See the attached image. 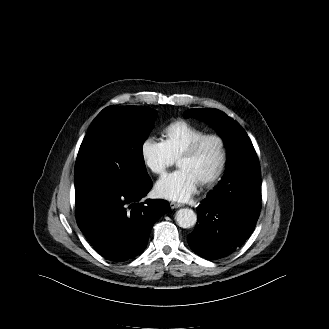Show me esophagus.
I'll use <instances>...</instances> for the list:
<instances>
[{"instance_id":"obj_1","label":"esophagus","mask_w":329,"mask_h":329,"mask_svg":"<svg viewBox=\"0 0 329 329\" xmlns=\"http://www.w3.org/2000/svg\"><path fill=\"white\" fill-rule=\"evenodd\" d=\"M181 206H182V204H180V203H176V202H171V203H170V207H171L172 209L179 208V207H181Z\"/></svg>"}]
</instances>
